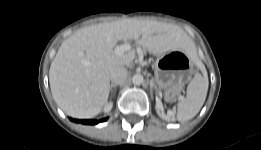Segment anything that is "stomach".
<instances>
[{"label":"stomach","instance_id":"obj_1","mask_svg":"<svg viewBox=\"0 0 261 150\" xmlns=\"http://www.w3.org/2000/svg\"><path fill=\"white\" fill-rule=\"evenodd\" d=\"M191 68V59L184 51L161 54L154 63L155 85L163 91H176L189 79Z\"/></svg>","mask_w":261,"mask_h":150}]
</instances>
